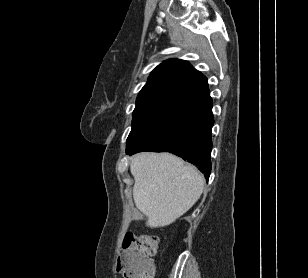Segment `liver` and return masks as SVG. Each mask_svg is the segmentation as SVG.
Segmentation results:
<instances>
[{"label":"liver","instance_id":"6515ba94","mask_svg":"<svg viewBox=\"0 0 308 278\" xmlns=\"http://www.w3.org/2000/svg\"><path fill=\"white\" fill-rule=\"evenodd\" d=\"M130 171L135 180V205L151 228L173 223L197 202L204 189V178L196 167L170 153L137 154Z\"/></svg>","mask_w":308,"mask_h":278}]
</instances>
